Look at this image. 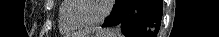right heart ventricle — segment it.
Returning a JSON list of instances; mask_svg holds the SVG:
<instances>
[{
	"label": "right heart ventricle",
	"mask_w": 219,
	"mask_h": 37,
	"mask_svg": "<svg viewBox=\"0 0 219 37\" xmlns=\"http://www.w3.org/2000/svg\"><path fill=\"white\" fill-rule=\"evenodd\" d=\"M71 4L67 0L61 1L58 7L59 27L62 34H69L77 31L78 27L73 26L66 18V12Z\"/></svg>",
	"instance_id": "right-heart-ventricle-1"
}]
</instances>
